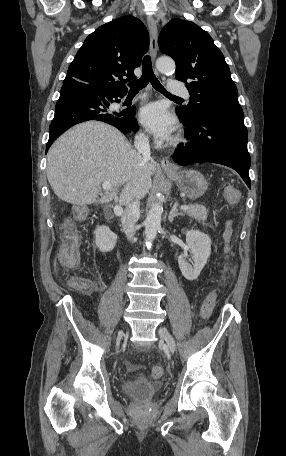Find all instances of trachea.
Wrapping results in <instances>:
<instances>
[{"label": "trachea", "instance_id": "obj_1", "mask_svg": "<svg viewBox=\"0 0 286 456\" xmlns=\"http://www.w3.org/2000/svg\"><path fill=\"white\" fill-rule=\"evenodd\" d=\"M143 73L140 79L136 81L130 82L128 85L130 87V92H139L143 88L147 86V84L150 82L154 89L157 91L161 92L167 97L171 98H176V99H182L180 97L174 96L170 94L169 92L166 91V89L161 85V83L158 81L156 78L153 69H152V62L150 56H145L143 59Z\"/></svg>", "mask_w": 286, "mask_h": 456}]
</instances>
